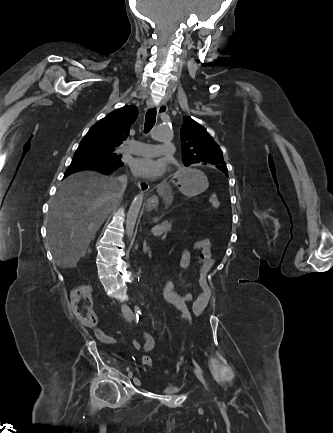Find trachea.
<instances>
[{
	"instance_id": "trachea-1",
	"label": "trachea",
	"mask_w": 333,
	"mask_h": 433,
	"mask_svg": "<svg viewBox=\"0 0 333 433\" xmlns=\"http://www.w3.org/2000/svg\"><path fill=\"white\" fill-rule=\"evenodd\" d=\"M156 121V109H149L145 116L144 132H149Z\"/></svg>"
}]
</instances>
